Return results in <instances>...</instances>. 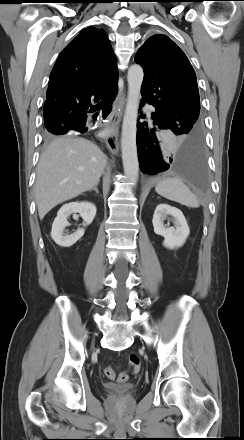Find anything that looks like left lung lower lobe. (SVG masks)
<instances>
[{"mask_svg":"<svg viewBox=\"0 0 244 440\" xmlns=\"http://www.w3.org/2000/svg\"><path fill=\"white\" fill-rule=\"evenodd\" d=\"M152 119L153 127H148L146 122H137L140 170L145 174L155 175L170 169L184 176L191 184L204 186L206 160L202 132L186 138L180 149L173 152L160 133L170 127L156 111L152 113Z\"/></svg>","mask_w":244,"mask_h":440,"instance_id":"left-lung-lower-lobe-1","label":"left lung lower lobe"}]
</instances>
